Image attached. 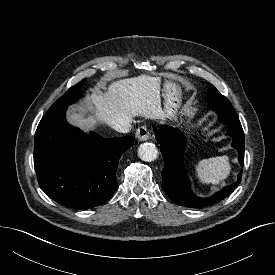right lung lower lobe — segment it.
Listing matches in <instances>:
<instances>
[{
	"label": "right lung lower lobe",
	"mask_w": 275,
	"mask_h": 275,
	"mask_svg": "<svg viewBox=\"0 0 275 275\" xmlns=\"http://www.w3.org/2000/svg\"><path fill=\"white\" fill-rule=\"evenodd\" d=\"M66 109L46 114L34 143V167L47 196L78 210L99 206L117 189L121 155L134 143L132 136L103 138L84 134L65 119Z\"/></svg>",
	"instance_id": "98d812e1"
}]
</instances>
